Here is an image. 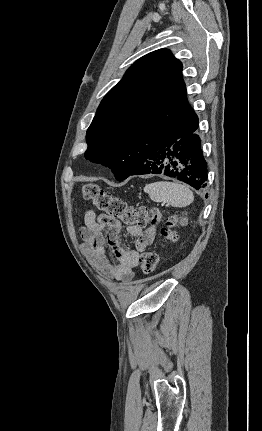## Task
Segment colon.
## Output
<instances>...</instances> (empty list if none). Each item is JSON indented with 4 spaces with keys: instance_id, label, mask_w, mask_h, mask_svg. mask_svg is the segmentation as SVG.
<instances>
[{
    "instance_id": "1",
    "label": "colon",
    "mask_w": 262,
    "mask_h": 431,
    "mask_svg": "<svg viewBox=\"0 0 262 431\" xmlns=\"http://www.w3.org/2000/svg\"><path fill=\"white\" fill-rule=\"evenodd\" d=\"M83 197L90 201L99 211L112 219L120 220L128 226L144 227L154 224L159 217L158 210L148 211L145 208L128 206L122 199L109 193L95 183L85 184L82 188ZM179 219L170 215L162 228L161 239L164 242L175 241L176 228ZM159 256L155 251H145L140 255L139 267L144 274H150L157 269Z\"/></svg>"
}]
</instances>
